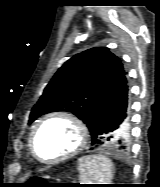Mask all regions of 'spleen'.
Listing matches in <instances>:
<instances>
[{
	"mask_svg": "<svg viewBox=\"0 0 160 187\" xmlns=\"http://www.w3.org/2000/svg\"><path fill=\"white\" fill-rule=\"evenodd\" d=\"M78 171L82 183L110 184L113 178V163L104 155H89L79 159Z\"/></svg>",
	"mask_w": 160,
	"mask_h": 187,
	"instance_id": "3e777b00",
	"label": "spleen"
}]
</instances>
